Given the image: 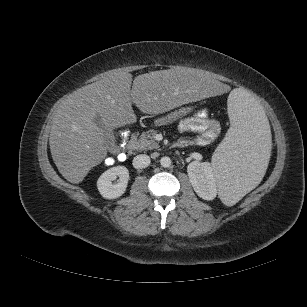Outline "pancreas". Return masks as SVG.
<instances>
[{"label": "pancreas", "mask_w": 307, "mask_h": 307, "mask_svg": "<svg viewBox=\"0 0 307 307\" xmlns=\"http://www.w3.org/2000/svg\"><path fill=\"white\" fill-rule=\"evenodd\" d=\"M156 134L157 131L152 129L147 132H143L139 137L133 136L131 139L133 149L145 151L159 148L158 143L154 139Z\"/></svg>", "instance_id": "pancreas-1"}]
</instances>
